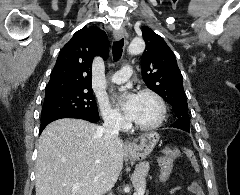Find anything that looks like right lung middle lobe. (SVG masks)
Segmentation results:
<instances>
[{"instance_id": "dd1d6c3e", "label": "right lung middle lobe", "mask_w": 240, "mask_h": 195, "mask_svg": "<svg viewBox=\"0 0 240 195\" xmlns=\"http://www.w3.org/2000/svg\"><path fill=\"white\" fill-rule=\"evenodd\" d=\"M76 113L98 114L92 90H68L45 95L41 120Z\"/></svg>"}]
</instances>
